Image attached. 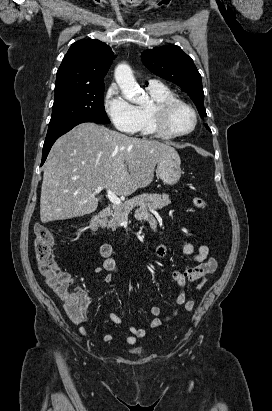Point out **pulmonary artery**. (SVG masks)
<instances>
[{
  "mask_svg": "<svg viewBox=\"0 0 272 411\" xmlns=\"http://www.w3.org/2000/svg\"><path fill=\"white\" fill-rule=\"evenodd\" d=\"M146 84L147 85H157V84H160V83H158V81L155 80V79H149V80L146 81Z\"/></svg>",
  "mask_w": 272,
  "mask_h": 411,
  "instance_id": "obj_1",
  "label": "pulmonary artery"
}]
</instances>
